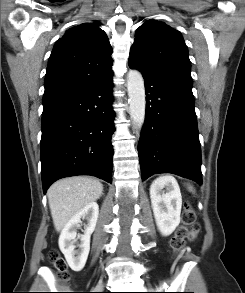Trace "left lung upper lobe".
Masks as SVG:
<instances>
[{
  "label": "left lung upper lobe",
  "instance_id": "5c2ea615",
  "mask_svg": "<svg viewBox=\"0 0 245 293\" xmlns=\"http://www.w3.org/2000/svg\"><path fill=\"white\" fill-rule=\"evenodd\" d=\"M192 88L187 46L179 31L157 20H148L136 31L130 58Z\"/></svg>",
  "mask_w": 245,
  "mask_h": 293
}]
</instances>
